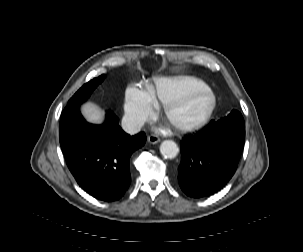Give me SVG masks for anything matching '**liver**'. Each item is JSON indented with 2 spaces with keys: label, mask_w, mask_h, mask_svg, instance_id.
<instances>
[{
  "label": "liver",
  "mask_w": 303,
  "mask_h": 252,
  "mask_svg": "<svg viewBox=\"0 0 303 252\" xmlns=\"http://www.w3.org/2000/svg\"><path fill=\"white\" fill-rule=\"evenodd\" d=\"M82 112L88 121L93 123H101L103 120V112L94 104H85Z\"/></svg>",
  "instance_id": "1"
}]
</instances>
